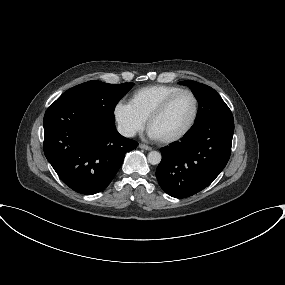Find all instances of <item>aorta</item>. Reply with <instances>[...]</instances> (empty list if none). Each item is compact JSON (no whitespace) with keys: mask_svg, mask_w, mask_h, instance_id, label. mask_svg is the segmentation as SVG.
<instances>
[{"mask_svg":"<svg viewBox=\"0 0 285 285\" xmlns=\"http://www.w3.org/2000/svg\"><path fill=\"white\" fill-rule=\"evenodd\" d=\"M161 158H162L161 153L158 151H151L148 154V162L152 165L159 164L161 161Z\"/></svg>","mask_w":285,"mask_h":285,"instance_id":"aorta-1","label":"aorta"}]
</instances>
